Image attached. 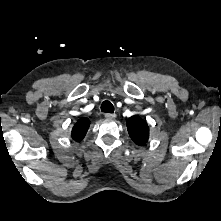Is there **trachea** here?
Here are the masks:
<instances>
[{
  "mask_svg": "<svg viewBox=\"0 0 221 221\" xmlns=\"http://www.w3.org/2000/svg\"><path fill=\"white\" fill-rule=\"evenodd\" d=\"M101 111L105 113H113L114 106L110 101H103V103L101 104Z\"/></svg>",
  "mask_w": 221,
  "mask_h": 221,
  "instance_id": "3493384b",
  "label": "trachea"
}]
</instances>
